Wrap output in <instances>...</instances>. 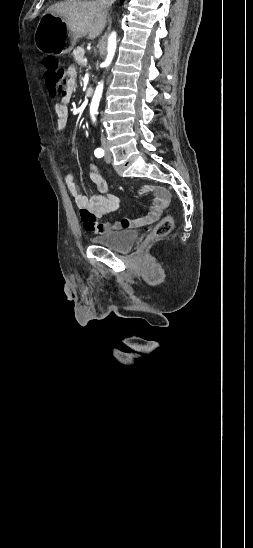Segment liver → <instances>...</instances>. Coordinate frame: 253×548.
<instances>
[{"mask_svg": "<svg viewBox=\"0 0 253 548\" xmlns=\"http://www.w3.org/2000/svg\"><path fill=\"white\" fill-rule=\"evenodd\" d=\"M45 14L62 18L75 40L86 35L89 39L96 38L107 22V11L100 6L98 0L55 3L45 11Z\"/></svg>", "mask_w": 253, "mask_h": 548, "instance_id": "obj_1", "label": "liver"}]
</instances>
